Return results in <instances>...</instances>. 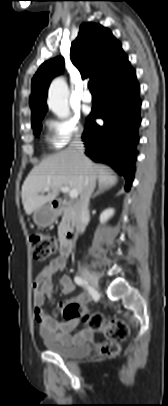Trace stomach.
<instances>
[{"instance_id":"0dacf381","label":"stomach","mask_w":168,"mask_h":406,"mask_svg":"<svg viewBox=\"0 0 168 406\" xmlns=\"http://www.w3.org/2000/svg\"><path fill=\"white\" fill-rule=\"evenodd\" d=\"M57 211L50 206H43L37 209L33 214V220L36 225L46 227L51 225L57 218Z\"/></svg>"}]
</instances>
